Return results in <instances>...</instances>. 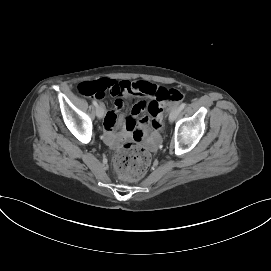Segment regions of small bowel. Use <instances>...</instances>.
Returning a JSON list of instances; mask_svg holds the SVG:
<instances>
[{"mask_svg":"<svg viewBox=\"0 0 271 271\" xmlns=\"http://www.w3.org/2000/svg\"><path fill=\"white\" fill-rule=\"evenodd\" d=\"M109 84V91L115 97L114 109L107 111L104 116V133L105 141L110 146H117L120 141L128 136H132L136 140L143 137V131L151 126L152 139L156 140L157 132L161 127L164 108L167 101L160 100L157 96L158 92L164 87L147 81L130 82L128 80H112L106 79ZM104 96V95H103ZM101 96L98 99L103 98ZM140 97L149 99V101H139L131 108V116L126 118L124 115H118V112L124 107V98ZM147 112L151 119L143 116L136 121V117ZM154 123L159 124L158 128L154 127ZM122 127V131L117 133L116 128Z\"/></svg>","mask_w":271,"mask_h":271,"instance_id":"obj_1","label":"small bowel"}]
</instances>
